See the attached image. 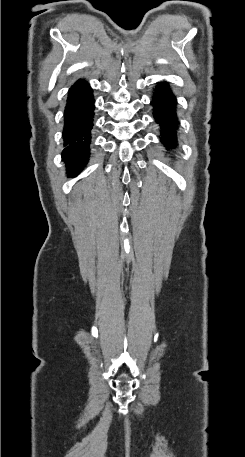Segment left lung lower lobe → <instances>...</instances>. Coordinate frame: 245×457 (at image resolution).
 <instances>
[{
	"label": "left lung lower lobe",
	"instance_id": "1",
	"mask_svg": "<svg viewBox=\"0 0 245 457\" xmlns=\"http://www.w3.org/2000/svg\"><path fill=\"white\" fill-rule=\"evenodd\" d=\"M151 105L153 116L159 126L160 142L171 155L178 149L179 120L177 99L167 83L161 82L155 87Z\"/></svg>",
	"mask_w": 245,
	"mask_h": 457
}]
</instances>
